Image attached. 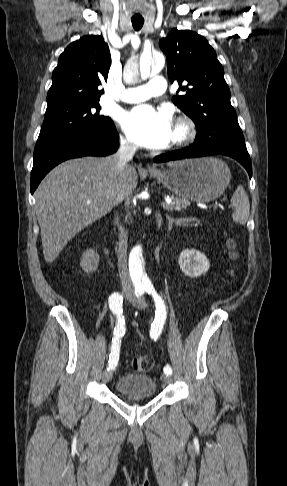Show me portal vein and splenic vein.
<instances>
[{
	"label": "portal vein and splenic vein",
	"instance_id": "1",
	"mask_svg": "<svg viewBox=\"0 0 287 486\" xmlns=\"http://www.w3.org/2000/svg\"><path fill=\"white\" fill-rule=\"evenodd\" d=\"M171 204H172V200L171 199H165V201L161 203V205L163 206V208H167Z\"/></svg>",
	"mask_w": 287,
	"mask_h": 486
}]
</instances>
